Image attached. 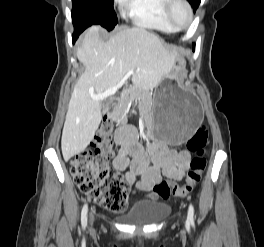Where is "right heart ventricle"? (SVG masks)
<instances>
[{
  "instance_id": "right-heart-ventricle-1",
  "label": "right heart ventricle",
  "mask_w": 264,
  "mask_h": 247,
  "mask_svg": "<svg viewBox=\"0 0 264 247\" xmlns=\"http://www.w3.org/2000/svg\"><path fill=\"white\" fill-rule=\"evenodd\" d=\"M166 4L167 0H131L128 15L139 27L173 33L176 28L167 18Z\"/></svg>"
}]
</instances>
